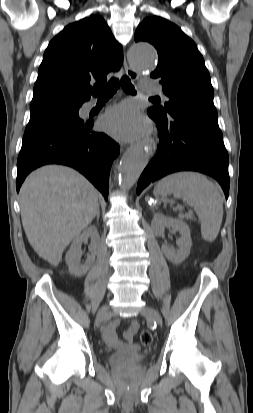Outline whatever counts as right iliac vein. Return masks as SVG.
<instances>
[{
  "label": "right iliac vein",
  "instance_id": "63e3f726",
  "mask_svg": "<svg viewBox=\"0 0 253 413\" xmlns=\"http://www.w3.org/2000/svg\"><path fill=\"white\" fill-rule=\"evenodd\" d=\"M108 311H109V306L108 305L103 306L98 312L97 321L101 322L102 320H104L106 316L108 315Z\"/></svg>",
  "mask_w": 253,
  "mask_h": 413
}]
</instances>
